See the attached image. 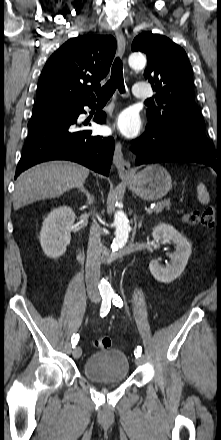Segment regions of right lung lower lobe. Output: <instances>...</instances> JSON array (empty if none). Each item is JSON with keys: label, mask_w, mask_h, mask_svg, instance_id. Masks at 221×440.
Returning <instances> with one entry per match:
<instances>
[{"label": "right lung lower lobe", "mask_w": 221, "mask_h": 440, "mask_svg": "<svg viewBox=\"0 0 221 440\" xmlns=\"http://www.w3.org/2000/svg\"><path fill=\"white\" fill-rule=\"evenodd\" d=\"M94 102L33 112L28 122V138L23 147L15 178L35 164L49 160H70L108 176L115 142L112 137L92 136L84 130L77 118L83 107H94ZM105 113L100 111L94 121L105 123Z\"/></svg>", "instance_id": "obj_1"}]
</instances>
